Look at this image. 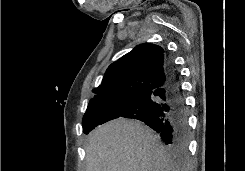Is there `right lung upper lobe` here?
Here are the masks:
<instances>
[{
  "label": "right lung upper lobe",
  "instance_id": "right-lung-upper-lobe-1",
  "mask_svg": "<svg viewBox=\"0 0 245 171\" xmlns=\"http://www.w3.org/2000/svg\"><path fill=\"white\" fill-rule=\"evenodd\" d=\"M165 50L151 43L136 46L114 63L103 77L96 94L90 102H96L116 96L133 98L147 94L163 86L167 81Z\"/></svg>",
  "mask_w": 245,
  "mask_h": 171
}]
</instances>
